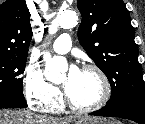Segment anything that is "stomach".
Returning <instances> with one entry per match:
<instances>
[{
  "label": "stomach",
  "instance_id": "0dacf381",
  "mask_svg": "<svg viewBox=\"0 0 145 124\" xmlns=\"http://www.w3.org/2000/svg\"><path fill=\"white\" fill-rule=\"evenodd\" d=\"M74 124H116L113 120L102 118H82L76 121Z\"/></svg>",
  "mask_w": 145,
  "mask_h": 124
}]
</instances>
